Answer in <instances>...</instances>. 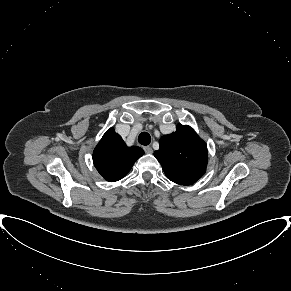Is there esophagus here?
Returning <instances> with one entry per match:
<instances>
[{"label": "esophagus", "mask_w": 291, "mask_h": 291, "mask_svg": "<svg viewBox=\"0 0 291 291\" xmlns=\"http://www.w3.org/2000/svg\"><path fill=\"white\" fill-rule=\"evenodd\" d=\"M144 151H145V153H147V154H151V153L153 152V150H152V148H151L150 146H145V147H144Z\"/></svg>", "instance_id": "1"}]
</instances>
